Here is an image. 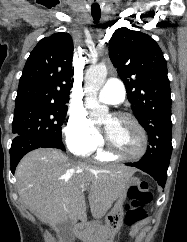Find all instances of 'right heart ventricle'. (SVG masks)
Here are the masks:
<instances>
[{
	"label": "right heart ventricle",
	"instance_id": "1",
	"mask_svg": "<svg viewBox=\"0 0 187 242\" xmlns=\"http://www.w3.org/2000/svg\"><path fill=\"white\" fill-rule=\"evenodd\" d=\"M97 159L100 160V161H112L115 158L108 155L105 151L99 150L98 153H97Z\"/></svg>",
	"mask_w": 187,
	"mask_h": 242
}]
</instances>
